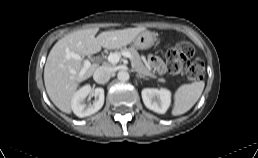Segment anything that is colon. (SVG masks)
<instances>
[{
	"label": "colon",
	"mask_w": 258,
	"mask_h": 158,
	"mask_svg": "<svg viewBox=\"0 0 258 158\" xmlns=\"http://www.w3.org/2000/svg\"><path fill=\"white\" fill-rule=\"evenodd\" d=\"M167 67L172 73L185 71L188 80L197 81L204 73V63L194 58V48L186 41L177 43L167 53Z\"/></svg>",
	"instance_id": "1"
}]
</instances>
